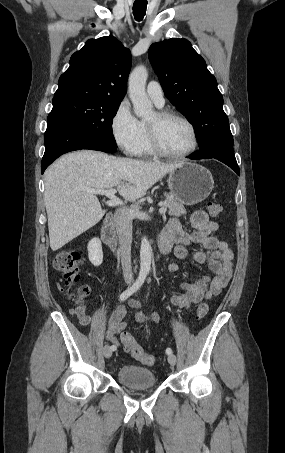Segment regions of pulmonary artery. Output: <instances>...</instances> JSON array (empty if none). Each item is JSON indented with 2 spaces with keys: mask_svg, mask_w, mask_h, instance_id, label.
<instances>
[{
  "mask_svg": "<svg viewBox=\"0 0 285 453\" xmlns=\"http://www.w3.org/2000/svg\"><path fill=\"white\" fill-rule=\"evenodd\" d=\"M147 94L149 98L158 106L164 105V93L161 85L156 81H151L147 85Z\"/></svg>",
  "mask_w": 285,
  "mask_h": 453,
  "instance_id": "1",
  "label": "pulmonary artery"
}]
</instances>
